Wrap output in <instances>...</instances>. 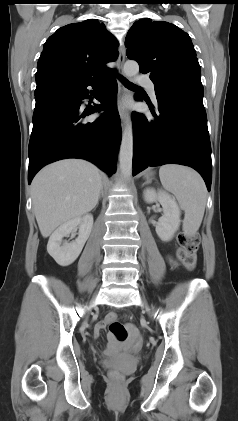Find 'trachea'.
<instances>
[{
	"label": "trachea",
	"mask_w": 238,
	"mask_h": 421,
	"mask_svg": "<svg viewBox=\"0 0 238 421\" xmlns=\"http://www.w3.org/2000/svg\"><path fill=\"white\" fill-rule=\"evenodd\" d=\"M121 80H122V82L124 83L125 86L131 87V88H137L136 85H134L133 83L129 82L127 79L121 77Z\"/></svg>",
	"instance_id": "obj_1"
}]
</instances>
